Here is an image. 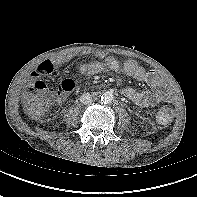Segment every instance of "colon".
<instances>
[{
    "label": "colon",
    "mask_w": 197,
    "mask_h": 197,
    "mask_svg": "<svg viewBox=\"0 0 197 197\" xmlns=\"http://www.w3.org/2000/svg\"><path fill=\"white\" fill-rule=\"evenodd\" d=\"M74 86V81L71 79L61 81L58 86V95L62 96L70 93L74 89ZM48 92L49 87L42 80L37 81L34 84V87L28 91L24 96L23 106L29 115L37 117L43 113L48 102ZM172 117L173 110L169 106L161 107L157 113V120L161 124L169 123L172 120Z\"/></svg>",
    "instance_id": "obj_1"
}]
</instances>
